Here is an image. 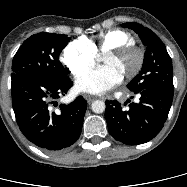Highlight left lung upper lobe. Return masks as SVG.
<instances>
[{"instance_id":"5c2ea615","label":"left lung upper lobe","mask_w":187,"mask_h":187,"mask_svg":"<svg viewBox=\"0 0 187 187\" xmlns=\"http://www.w3.org/2000/svg\"><path fill=\"white\" fill-rule=\"evenodd\" d=\"M123 27L134 30L147 47L140 73L127 85L132 92L144 89L174 90L172 61L160 38L139 23L128 22Z\"/></svg>"}]
</instances>
